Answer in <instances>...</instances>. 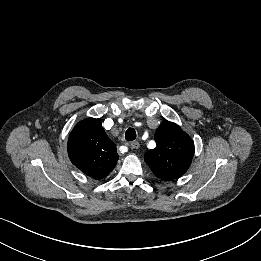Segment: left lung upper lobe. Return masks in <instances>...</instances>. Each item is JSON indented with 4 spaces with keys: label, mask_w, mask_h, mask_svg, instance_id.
Segmentation results:
<instances>
[{
    "label": "left lung upper lobe",
    "mask_w": 261,
    "mask_h": 261,
    "mask_svg": "<svg viewBox=\"0 0 261 261\" xmlns=\"http://www.w3.org/2000/svg\"><path fill=\"white\" fill-rule=\"evenodd\" d=\"M154 139L156 148L144 156L152 172L166 181L183 175L194 155L192 139L178 125L167 120L162 121Z\"/></svg>",
    "instance_id": "5c2ea615"
}]
</instances>
